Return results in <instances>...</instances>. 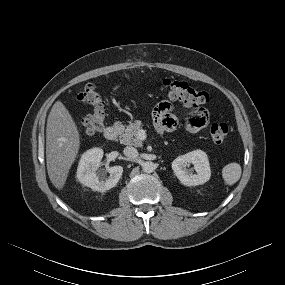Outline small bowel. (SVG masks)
I'll return each instance as SVG.
<instances>
[{
    "label": "small bowel",
    "instance_id": "c3829d8e",
    "mask_svg": "<svg viewBox=\"0 0 285 285\" xmlns=\"http://www.w3.org/2000/svg\"><path fill=\"white\" fill-rule=\"evenodd\" d=\"M172 106L168 102L159 104L153 111V120L160 131H171L177 126L178 120L171 113ZM209 123V113L205 109H196L188 113L185 126L189 132L197 133Z\"/></svg>",
    "mask_w": 285,
    "mask_h": 285
}]
</instances>
